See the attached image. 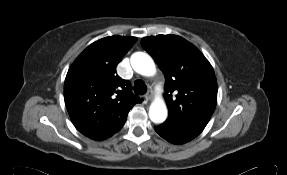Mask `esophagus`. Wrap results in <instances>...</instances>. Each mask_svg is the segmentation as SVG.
<instances>
[{"label":"esophagus","mask_w":287,"mask_h":175,"mask_svg":"<svg viewBox=\"0 0 287 175\" xmlns=\"http://www.w3.org/2000/svg\"><path fill=\"white\" fill-rule=\"evenodd\" d=\"M145 98L148 100H151L153 98V92L152 91H148L145 95Z\"/></svg>","instance_id":"1"}]
</instances>
